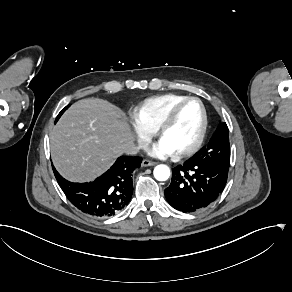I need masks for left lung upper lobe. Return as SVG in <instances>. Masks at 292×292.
Instances as JSON below:
<instances>
[{"instance_id":"5c2ea615","label":"left lung upper lobe","mask_w":292,"mask_h":292,"mask_svg":"<svg viewBox=\"0 0 292 292\" xmlns=\"http://www.w3.org/2000/svg\"><path fill=\"white\" fill-rule=\"evenodd\" d=\"M194 157L207 162L230 163L229 130L226 123H220L207 146L200 149Z\"/></svg>"}]
</instances>
